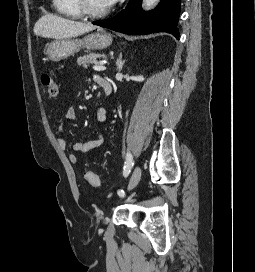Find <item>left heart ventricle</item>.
Segmentation results:
<instances>
[{"label":"left heart ventricle","instance_id":"obj_1","mask_svg":"<svg viewBox=\"0 0 255 272\" xmlns=\"http://www.w3.org/2000/svg\"><path fill=\"white\" fill-rule=\"evenodd\" d=\"M88 5L95 12H102L109 8L106 0H88Z\"/></svg>","mask_w":255,"mask_h":272}]
</instances>
